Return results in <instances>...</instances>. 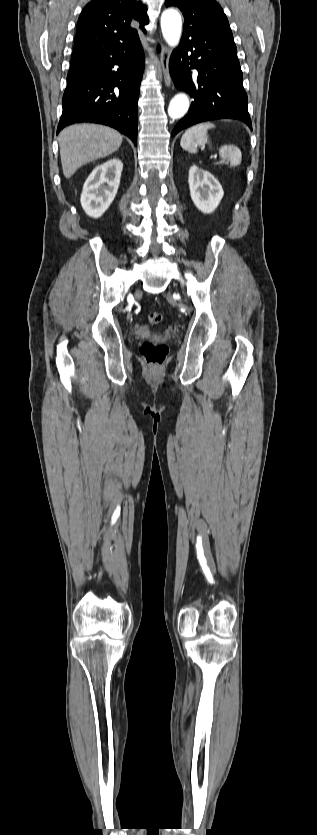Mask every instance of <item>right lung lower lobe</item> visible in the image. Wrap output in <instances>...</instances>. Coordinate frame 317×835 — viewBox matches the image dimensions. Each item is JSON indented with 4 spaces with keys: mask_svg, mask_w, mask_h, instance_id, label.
<instances>
[{
    "mask_svg": "<svg viewBox=\"0 0 317 835\" xmlns=\"http://www.w3.org/2000/svg\"><path fill=\"white\" fill-rule=\"evenodd\" d=\"M143 70L140 39L115 50L74 51L57 134L71 124L93 122L119 130L136 145Z\"/></svg>",
    "mask_w": 317,
    "mask_h": 835,
    "instance_id": "98d812e1",
    "label": "right lung lower lobe"
}]
</instances>
